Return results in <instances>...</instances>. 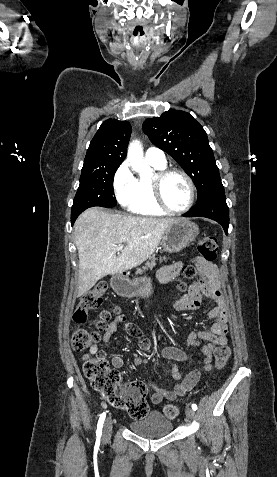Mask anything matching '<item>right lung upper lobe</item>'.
<instances>
[{
	"label": "right lung upper lobe",
	"instance_id": "obj_1",
	"mask_svg": "<svg viewBox=\"0 0 277 477\" xmlns=\"http://www.w3.org/2000/svg\"><path fill=\"white\" fill-rule=\"evenodd\" d=\"M131 131L127 121H104L90 142L82 172L119 167L126 156Z\"/></svg>",
	"mask_w": 277,
	"mask_h": 477
}]
</instances>
